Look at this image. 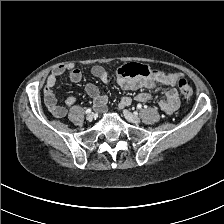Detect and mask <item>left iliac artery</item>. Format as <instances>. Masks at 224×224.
I'll use <instances>...</instances> for the list:
<instances>
[{
    "mask_svg": "<svg viewBox=\"0 0 224 224\" xmlns=\"http://www.w3.org/2000/svg\"><path fill=\"white\" fill-rule=\"evenodd\" d=\"M137 108H138V109H141V108H142V105H141V104H138V105H137Z\"/></svg>",
    "mask_w": 224,
    "mask_h": 224,
    "instance_id": "1",
    "label": "left iliac artery"
}]
</instances>
